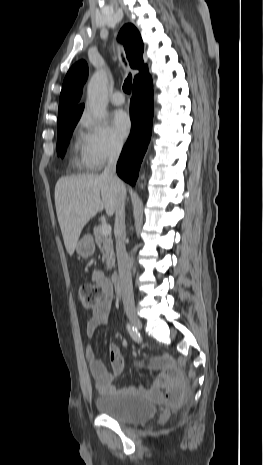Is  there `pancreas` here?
<instances>
[{
    "instance_id": "obj_1",
    "label": "pancreas",
    "mask_w": 263,
    "mask_h": 465,
    "mask_svg": "<svg viewBox=\"0 0 263 465\" xmlns=\"http://www.w3.org/2000/svg\"><path fill=\"white\" fill-rule=\"evenodd\" d=\"M101 228L102 225L94 227L93 234L95 237V242L103 254L102 262L105 261L107 269H111L115 263L113 240L111 234L103 235L101 232Z\"/></svg>"
}]
</instances>
